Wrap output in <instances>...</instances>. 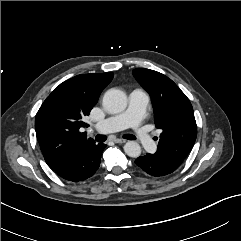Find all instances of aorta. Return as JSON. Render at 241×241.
<instances>
[{"label": "aorta", "instance_id": "obj_1", "mask_svg": "<svg viewBox=\"0 0 241 241\" xmlns=\"http://www.w3.org/2000/svg\"><path fill=\"white\" fill-rule=\"evenodd\" d=\"M127 106L126 94L118 89H109L103 97V107L111 114H117L125 110ZM124 151L129 157L137 158L141 154V146L135 141H128L124 145Z\"/></svg>", "mask_w": 241, "mask_h": 241}]
</instances>
